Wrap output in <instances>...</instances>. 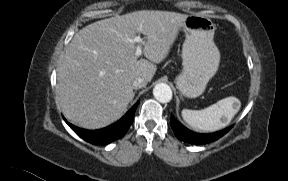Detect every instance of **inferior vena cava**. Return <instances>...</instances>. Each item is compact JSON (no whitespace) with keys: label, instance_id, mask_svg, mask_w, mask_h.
<instances>
[{"label":"inferior vena cava","instance_id":"602c4592","mask_svg":"<svg viewBox=\"0 0 288 181\" xmlns=\"http://www.w3.org/2000/svg\"><path fill=\"white\" fill-rule=\"evenodd\" d=\"M146 84H147V82L144 78L138 77L133 81L132 86L134 89H139V88L145 87Z\"/></svg>","mask_w":288,"mask_h":181}]
</instances>
